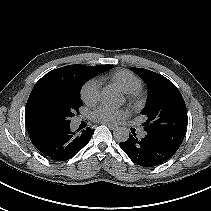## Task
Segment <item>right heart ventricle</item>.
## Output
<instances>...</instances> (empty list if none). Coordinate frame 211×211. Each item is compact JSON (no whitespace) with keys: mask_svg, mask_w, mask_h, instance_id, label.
<instances>
[{"mask_svg":"<svg viewBox=\"0 0 211 211\" xmlns=\"http://www.w3.org/2000/svg\"><path fill=\"white\" fill-rule=\"evenodd\" d=\"M111 82L116 84L124 93L138 91L141 86V80L133 73L127 70H118L109 76Z\"/></svg>","mask_w":211,"mask_h":211,"instance_id":"right-heart-ventricle-1","label":"right heart ventricle"}]
</instances>
